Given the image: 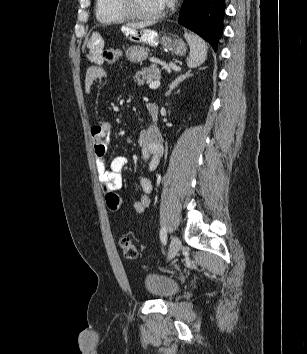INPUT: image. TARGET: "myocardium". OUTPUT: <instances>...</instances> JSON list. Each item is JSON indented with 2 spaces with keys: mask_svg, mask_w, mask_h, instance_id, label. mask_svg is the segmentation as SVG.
<instances>
[{
  "mask_svg": "<svg viewBox=\"0 0 307 354\" xmlns=\"http://www.w3.org/2000/svg\"><path fill=\"white\" fill-rule=\"evenodd\" d=\"M115 7L119 13H121L126 19L131 20H142V21H154L160 19L164 13L165 8L163 7L159 12L154 14H142L137 12L133 5L132 0H114Z\"/></svg>",
  "mask_w": 307,
  "mask_h": 354,
  "instance_id": "1",
  "label": "myocardium"
}]
</instances>
